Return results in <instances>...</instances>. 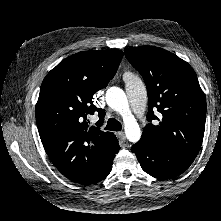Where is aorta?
Wrapping results in <instances>:
<instances>
[{
	"label": "aorta",
	"instance_id": "1",
	"mask_svg": "<svg viewBox=\"0 0 221 221\" xmlns=\"http://www.w3.org/2000/svg\"><path fill=\"white\" fill-rule=\"evenodd\" d=\"M105 98L107 105L121 114L127 139L133 143L138 142L141 138V129L131 113L125 92L119 87H110Z\"/></svg>",
	"mask_w": 221,
	"mask_h": 221
}]
</instances>
